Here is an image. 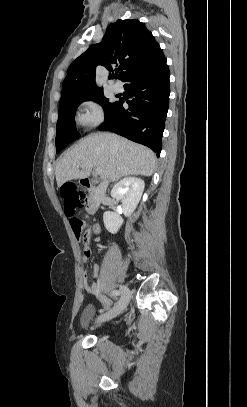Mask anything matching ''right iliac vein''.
<instances>
[{
  "instance_id": "1",
  "label": "right iliac vein",
  "mask_w": 247,
  "mask_h": 407,
  "mask_svg": "<svg viewBox=\"0 0 247 407\" xmlns=\"http://www.w3.org/2000/svg\"><path fill=\"white\" fill-rule=\"evenodd\" d=\"M121 291H122V296H121L119 303L111 311L100 316L97 319L98 324H101L103 322H106L108 320L115 318L121 312H123V310L127 307L128 303L130 301V297H131L130 290L127 286L123 285V286H121Z\"/></svg>"
}]
</instances>
